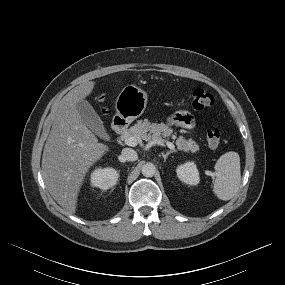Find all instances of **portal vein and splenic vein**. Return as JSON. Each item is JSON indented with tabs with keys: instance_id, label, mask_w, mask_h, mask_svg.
Instances as JSON below:
<instances>
[{
	"instance_id": "1",
	"label": "portal vein and splenic vein",
	"mask_w": 285,
	"mask_h": 285,
	"mask_svg": "<svg viewBox=\"0 0 285 285\" xmlns=\"http://www.w3.org/2000/svg\"><path fill=\"white\" fill-rule=\"evenodd\" d=\"M124 142L128 146L135 147V146H137L139 140L136 137L131 136V137L125 138ZM156 144L164 146V143L162 141H157ZM166 146L170 149L175 148L174 144L169 142V141L166 142Z\"/></svg>"
}]
</instances>
